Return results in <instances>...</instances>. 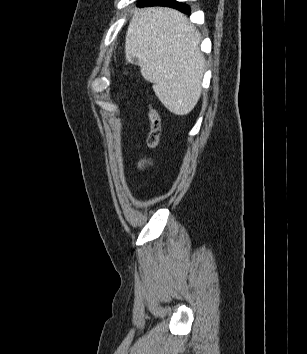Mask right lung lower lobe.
Wrapping results in <instances>:
<instances>
[{
	"instance_id": "98d812e1",
	"label": "right lung lower lobe",
	"mask_w": 307,
	"mask_h": 354,
	"mask_svg": "<svg viewBox=\"0 0 307 354\" xmlns=\"http://www.w3.org/2000/svg\"><path fill=\"white\" fill-rule=\"evenodd\" d=\"M139 6H169L182 11L183 13H190V8L187 5L181 4L175 0H141Z\"/></svg>"
}]
</instances>
